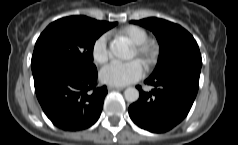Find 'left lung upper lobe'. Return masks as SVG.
I'll list each match as a JSON object with an SVG mask.
<instances>
[{
	"mask_svg": "<svg viewBox=\"0 0 238 145\" xmlns=\"http://www.w3.org/2000/svg\"><path fill=\"white\" fill-rule=\"evenodd\" d=\"M131 23L151 30L160 46V53L155 70L151 76L173 72L187 67L202 66L199 47L193 36L180 25L151 17Z\"/></svg>",
	"mask_w": 238,
	"mask_h": 145,
	"instance_id": "left-lung-upper-lobe-1",
	"label": "left lung upper lobe"
}]
</instances>
